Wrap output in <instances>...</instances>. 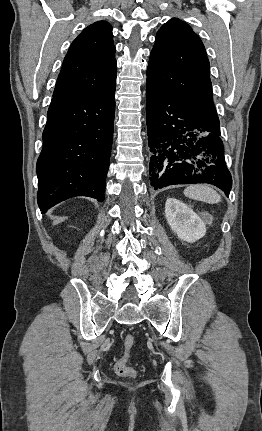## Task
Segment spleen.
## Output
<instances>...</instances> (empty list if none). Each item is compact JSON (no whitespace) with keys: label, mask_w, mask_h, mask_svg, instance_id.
<instances>
[{"label":"spleen","mask_w":262,"mask_h":431,"mask_svg":"<svg viewBox=\"0 0 262 431\" xmlns=\"http://www.w3.org/2000/svg\"><path fill=\"white\" fill-rule=\"evenodd\" d=\"M184 195L188 198L210 204H217L221 201V196L207 185L189 186L184 190Z\"/></svg>","instance_id":"3e777b00"}]
</instances>
